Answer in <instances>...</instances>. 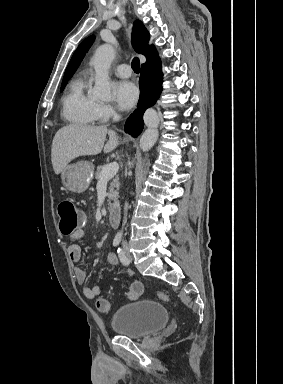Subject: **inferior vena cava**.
I'll return each instance as SVG.
<instances>
[{"label":"inferior vena cava","instance_id":"obj_1","mask_svg":"<svg viewBox=\"0 0 283 384\" xmlns=\"http://www.w3.org/2000/svg\"><path fill=\"white\" fill-rule=\"evenodd\" d=\"M112 114H113V116H114L113 120H117V118H119L118 114H116V112H114V110H112ZM127 208H128V204H125V208H124V210H125V216H126ZM125 224H126V218H125V220H124V224H123V226H125ZM122 246H123V248H128V244H127V242H123Z\"/></svg>","mask_w":283,"mask_h":384}]
</instances>
